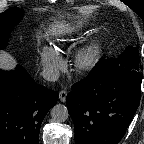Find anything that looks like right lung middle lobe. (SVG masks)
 Masks as SVG:
<instances>
[{
    "label": "right lung middle lobe",
    "mask_w": 144,
    "mask_h": 144,
    "mask_svg": "<svg viewBox=\"0 0 144 144\" xmlns=\"http://www.w3.org/2000/svg\"><path fill=\"white\" fill-rule=\"evenodd\" d=\"M23 17V12L18 7H13L0 14V49L7 44L9 32Z\"/></svg>",
    "instance_id": "right-lung-middle-lobe-1"
}]
</instances>
